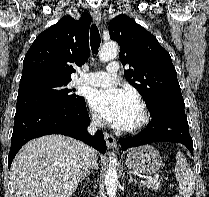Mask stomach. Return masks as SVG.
<instances>
[{"label": "stomach", "mask_w": 209, "mask_h": 197, "mask_svg": "<svg viewBox=\"0 0 209 197\" xmlns=\"http://www.w3.org/2000/svg\"><path fill=\"white\" fill-rule=\"evenodd\" d=\"M129 169L142 174H154L162 166V158L153 146L145 145L129 151L126 158Z\"/></svg>", "instance_id": "0dacf381"}]
</instances>
